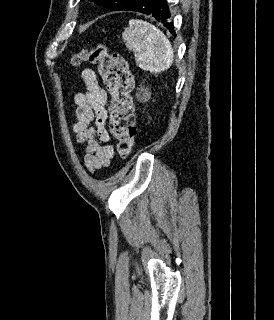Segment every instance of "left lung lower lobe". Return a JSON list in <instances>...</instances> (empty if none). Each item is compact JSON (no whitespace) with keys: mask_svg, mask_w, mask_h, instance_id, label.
<instances>
[{"mask_svg":"<svg viewBox=\"0 0 274 320\" xmlns=\"http://www.w3.org/2000/svg\"><path fill=\"white\" fill-rule=\"evenodd\" d=\"M123 10L138 11L150 15L158 21H161L175 36L173 23L168 22L171 15L166 0H134Z\"/></svg>","mask_w":274,"mask_h":320,"instance_id":"0a47b994","label":"left lung lower lobe"}]
</instances>
